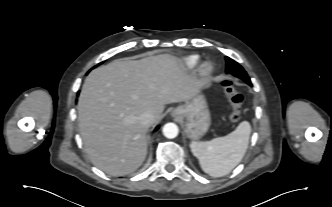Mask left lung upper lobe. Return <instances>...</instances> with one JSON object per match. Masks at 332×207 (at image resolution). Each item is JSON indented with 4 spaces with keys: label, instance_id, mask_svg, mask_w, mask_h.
Instances as JSON below:
<instances>
[{
    "label": "left lung upper lobe",
    "instance_id": "5c2ea615",
    "mask_svg": "<svg viewBox=\"0 0 332 207\" xmlns=\"http://www.w3.org/2000/svg\"><path fill=\"white\" fill-rule=\"evenodd\" d=\"M226 59V73L233 75L237 78L242 79L247 84L251 85V81L245 70L240 66L237 62L232 60L229 57H225Z\"/></svg>",
    "mask_w": 332,
    "mask_h": 207
}]
</instances>
